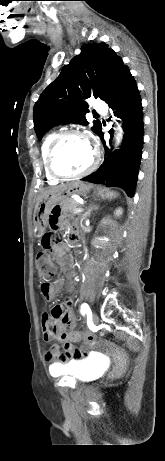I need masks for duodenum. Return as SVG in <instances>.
<instances>
[{
  "instance_id": "duodenum-1",
  "label": "duodenum",
  "mask_w": 165,
  "mask_h": 461,
  "mask_svg": "<svg viewBox=\"0 0 165 461\" xmlns=\"http://www.w3.org/2000/svg\"><path fill=\"white\" fill-rule=\"evenodd\" d=\"M79 239V235L78 233L75 231V229H73V231H71L70 233V236H69V240L70 242H75Z\"/></svg>"
}]
</instances>
